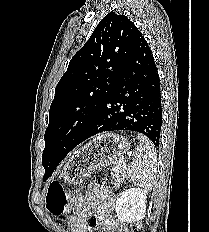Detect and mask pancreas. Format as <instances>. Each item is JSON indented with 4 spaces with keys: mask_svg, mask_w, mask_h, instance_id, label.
<instances>
[{
    "mask_svg": "<svg viewBox=\"0 0 209 232\" xmlns=\"http://www.w3.org/2000/svg\"><path fill=\"white\" fill-rule=\"evenodd\" d=\"M110 180L114 187H119L120 184L125 180L124 170L121 167L118 169H112Z\"/></svg>",
    "mask_w": 209,
    "mask_h": 232,
    "instance_id": "pancreas-1",
    "label": "pancreas"
}]
</instances>
